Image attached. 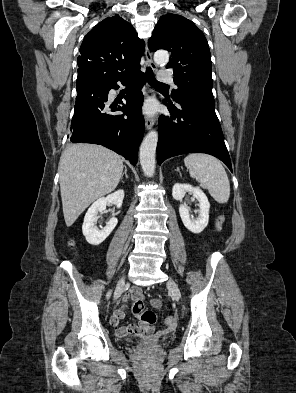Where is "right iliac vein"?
<instances>
[{"label":"right iliac vein","mask_w":296,"mask_h":393,"mask_svg":"<svg viewBox=\"0 0 296 393\" xmlns=\"http://www.w3.org/2000/svg\"><path fill=\"white\" fill-rule=\"evenodd\" d=\"M125 286V277H122L117 284V288L115 290L114 300H116L122 293L123 288Z\"/></svg>","instance_id":"63e3f726"}]
</instances>
